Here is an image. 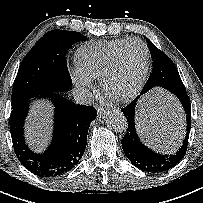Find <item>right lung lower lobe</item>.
Wrapping results in <instances>:
<instances>
[{
  "instance_id": "right-lung-lower-lobe-1",
  "label": "right lung lower lobe",
  "mask_w": 203,
  "mask_h": 203,
  "mask_svg": "<svg viewBox=\"0 0 203 203\" xmlns=\"http://www.w3.org/2000/svg\"><path fill=\"white\" fill-rule=\"evenodd\" d=\"M50 98L55 105L54 134L48 149L42 154L32 152L24 140V120L29 101L12 108L10 132L18 160L33 174L50 178L65 174L80 161L87 141L90 123L96 118L94 107L75 104L58 93L39 96Z\"/></svg>"
}]
</instances>
